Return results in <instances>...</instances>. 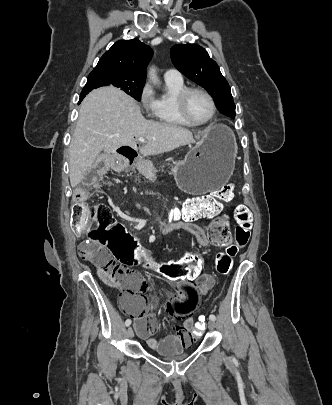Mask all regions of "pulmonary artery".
Here are the masks:
<instances>
[{"label": "pulmonary artery", "instance_id": "obj_1", "mask_svg": "<svg viewBox=\"0 0 332 405\" xmlns=\"http://www.w3.org/2000/svg\"><path fill=\"white\" fill-rule=\"evenodd\" d=\"M164 78L168 80H182L181 73L175 69H169L164 73Z\"/></svg>", "mask_w": 332, "mask_h": 405}]
</instances>
